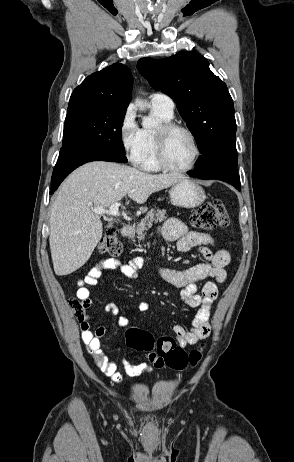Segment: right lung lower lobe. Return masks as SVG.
<instances>
[{
    "mask_svg": "<svg viewBox=\"0 0 294 462\" xmlns=\"http://www.w3.org/2000/svg\"><path fill=\"white\" fill-rule=\"evenodd\" d=\"M91 161H113V162H127L125 154L117 152H106L99 154H91L86 156L74 157L71 159H66L60 162H57L51 179V190L52 194L61 182L77 167L81 166L84 163Z\"/></svg>",
    "mask_w": 294,
    "mask_h": 462,
    "instance_id": "obj_1",
    "label": "right lung lower lobe"
}]
</instances>
